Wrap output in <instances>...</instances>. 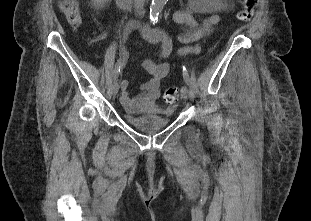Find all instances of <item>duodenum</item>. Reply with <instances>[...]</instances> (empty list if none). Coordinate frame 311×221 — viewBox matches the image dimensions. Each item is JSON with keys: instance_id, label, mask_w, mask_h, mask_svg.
<instances>
[{"instance_id": "410a0bca", "label": "duodenum", "mask_w": 311, "mask_h": 221, "mask_svg": "<svg viewBox=\"0 0 311 221\" xmlns=\"http://www.w3.org/2000/svg\"><path fill=\"white\" fill-rule=\"evenodd\" d=\"M139 0H116L117 4L120 7H131L135 3H137ZM140 25H144V23H140Z\"/></svg>"}]
</instances>
